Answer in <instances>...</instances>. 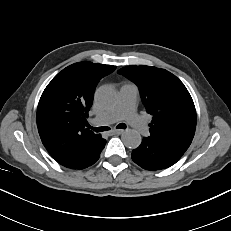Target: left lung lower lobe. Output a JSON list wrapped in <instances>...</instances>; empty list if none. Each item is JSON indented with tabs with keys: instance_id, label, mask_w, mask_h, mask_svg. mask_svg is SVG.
<instances>
[{
	"instance_id": "obj_1",
	"label": "left lung lower lobe",
	"mask_w": 231,
	"mask_h": 231,
	"mask_svg": "<svg viewBox=\"0 0 231 231\" xmlns=\"http://www.w3.org/2000/svg\"><path fill=\"white\" fill-rule=\"evenodd\" d=\"M186 152L177 144L157 137H144L131 153L133 161L146 170L155 171L175 164Z\"/></svg>"
}]
</instances>
